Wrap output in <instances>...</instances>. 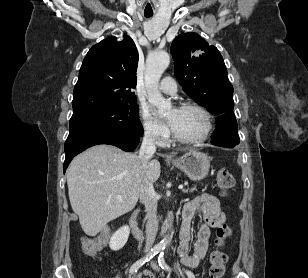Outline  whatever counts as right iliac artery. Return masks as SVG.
Returning <instances> with one entry per match:
<instances>
[{"label":"right iliac artery","mask_w":308,"mask_h":278,"mask_svg":"<svg viewBox=\"0 0 308 278\" xmlns=\"http://www.w3.org/2000/svg\"><path fill=\"white\" fill-rule=\"evenodd\" d=\"M161 250V247L159 246H155L153 247L150 252L145 256L143 257L142 259L136 261L131 267H130V270L129 272L132 274V273H135L138 271V269L143 266L146 262H148L149 260H151L155 255H157Z\"/></svg>","instance_id":"right-iliac-artery-1"}]
</instances>
